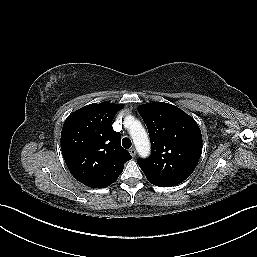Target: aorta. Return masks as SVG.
Masks as SVG:
<instances>
[{"label": "aorta", "instance_id": "762f6f07", "mask_svg": "<svg viewBox=\"0 0 257 257\" xmlns=\"http://www.w3.org/2000/svg\"><path fill=\"white\" fill-rule=\"evenodd\" d=\"M130 135L139 155L142 157L148 156L150 153L149 137L139 121H133L130 128Z\"/></svg>", "mask_w": 257, "mask_h": 257}]
</instances>
